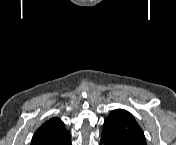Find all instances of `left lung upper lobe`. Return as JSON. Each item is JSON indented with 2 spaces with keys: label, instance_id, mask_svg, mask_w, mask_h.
<instances>
[{
  "label": "left lung upper lobe",
  "instance_id": "5c2ea615",
  "mask_svg": "<svg viewBox=\"0 0 176 145\" xmlns=\"http://www.w3.org/2000/svg\"><path fill=\"white\" fill-rule=\"evenodd\" d=\"M102 137L112 145H147L135 118L126 110L112 111L104 121Z\"/></svg>",
  "mask_w": 176,
  "mask_h": 145
}]
</instances>
